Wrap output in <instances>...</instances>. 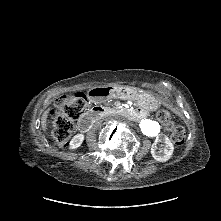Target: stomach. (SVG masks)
Masks as SVG:
<instances>
[{"label":"stomach","instance_id":"obj_1","mask_svg":"<svg viewBox=\"0 0 221 221\" xmlns=\"http://www.w3.org/2000/svg\"><path fill=\"white\" fill-rule=\"evenodd\" d=\"M117 92L122 97L135 99L146 107H152L158 104V100L151 93L140 89L131 87H118Z\"/></svg>","mask_w":221,"mask_h":221}]
</instances>
